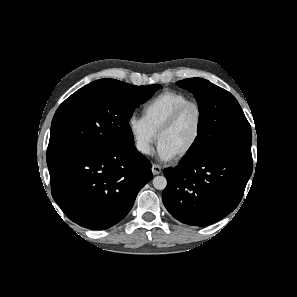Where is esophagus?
<instances>
[{
  "label": "esophagus",
  "instance_id": "34e87169",
  "mask_svg": "<svg viewBox=\"0 0 297 297\" xmlns=\"http://www.w3.org/2000/svg\"><path fill=\"white\" fill-rule=\"evenodd\" d=\"M161 172H162V168H161L160 165H157V164H153V165H152V173H153L154 175H158V174H160Z\"/></svg>",
  "mask_w": 297,
  "mask_h": 297
}]
</instances>
